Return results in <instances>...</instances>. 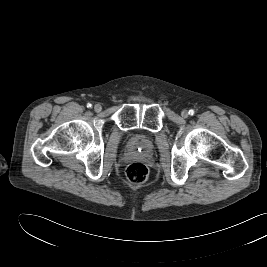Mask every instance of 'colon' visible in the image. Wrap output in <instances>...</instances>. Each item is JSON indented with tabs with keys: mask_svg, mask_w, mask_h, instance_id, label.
<instances>
[{
	"mask_svg": "<svg viewBox=\"0 0 267 267\" xmlns=\"http://www.w3.org/2000/svg\"><path fill=\"white\" fill-rule=\"evenodd\" d=\"M149 170L147 166L140 162H134L126 168L128 180L135 184H140L148 178Z\"/></svg>",
	"mask_w": 267,
	"mask_h": 267,
	"instance_id": "1",
	"label": "colon"
}]
</instances>
